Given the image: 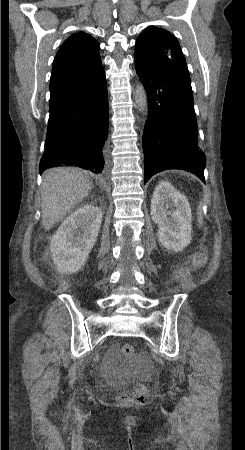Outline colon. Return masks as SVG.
<instances>
[{
    "label": "colon",
    "mask_w": 245,
    "mask_h": 450,
    "mask_svg": "<svg viewBox=\"0 0 245 450\" xmlns=\"http://www.w3.org/2000/svg\"><path fill=\"white\" fill-rule=\"evenodd\" d=\"M205 251H201L195 254L191 262L183 267H181L177 273L176 277L178 279H183L191 270L201 267L205 263ZM134 355V349L129 344H124L120 349V359L127 360L131 359ZM123 400L133 401L136 403H145L149 398V389L143 384H134L128 391L121 395Z\"/></svg>",
    "instance_id": "obj_1"
}]
</instances>
